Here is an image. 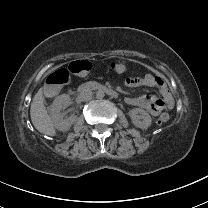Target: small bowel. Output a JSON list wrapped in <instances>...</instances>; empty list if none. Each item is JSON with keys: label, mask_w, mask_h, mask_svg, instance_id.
Wrapping results in <instances>:
<instances>
[{"label": "small bowel", "mask_w": 208, "mask_h": 208, "mask_svg": "<svg viewBox=\"0 0 208 208\" xmlns=\"http://www.w3.org/2000/svg\"><path fill=\"white\" fill-rule=\"evenodd\" d=\"M129 87H156L161 99L156 100L144 96L130 97L127 103L133 106H140L147 109L152 115H158L162 111H170L173 107V97L166 81L160 76L147 74L145 76H129L125 79Z\"/></svg>", "instance_id": "1"}]
</instances>
